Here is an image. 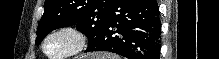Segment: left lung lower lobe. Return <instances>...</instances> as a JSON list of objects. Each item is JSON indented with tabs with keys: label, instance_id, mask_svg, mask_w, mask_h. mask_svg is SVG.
I'll return each instance as SVG.
<instances>
[{
	"label": "left lung lower lobe",
	"instance_id": "1",
	"mask_svg": "<svg viewBox=\"0 0 219 59\" xmlns=\"http://www.w3.org/2000/svg\"><path fill=\"white\" fill-rule=\"evenodd\" d=\"M160 34L156 0H114L101 34L85 52L109 51L128 59H159Z\"/></svg>",
	"mask_w": 219,
	"mask_h": 59
}]
</instances>
